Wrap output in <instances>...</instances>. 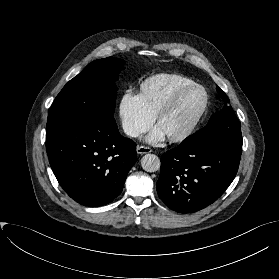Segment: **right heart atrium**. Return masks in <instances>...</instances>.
I'll return each instance as SVG.
<instances>
[{
  "label": "right heart atrium",
  "mask_w": 279,
  "mask_h": 279,
  "mask_svg": "<svg viewBox=\"0 0 279 279\" xmlns=\"http://www.w3.org/2000/svg\"><path fill=\"white\" fill-rule=\"evenodd\" d=\"M118 118L122 130L130 138H137L153 124L154 117L147 111L139 94L125 91L118 102Z\"/></svg>",
  "instance_id": "d8ad5b80"
}]
</instances>
